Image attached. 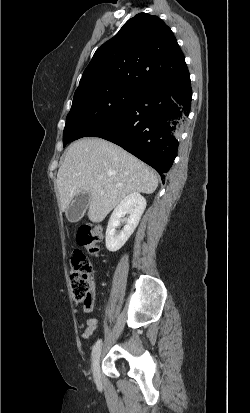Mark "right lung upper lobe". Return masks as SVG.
Returning <instances> with one entry per match:
<instances>
[{"instance_id": "right-lung-upper-lobe-1", "label": "right lung upper lobe", "mask_w": 250, "mask_h": 413, "mask_svg": "<svg viewBox=\"0 0 250 413\" xmlns=\"http://www.w3.org/2000/svg\"><path fill=\"white\" fill-rule=\"evenodd\" d=\"M188 77L171 29L159 17L139 13L96 50L75 92L114 86L142 91L162 83L178 84Z\"/></svg>"}]
</instances>
